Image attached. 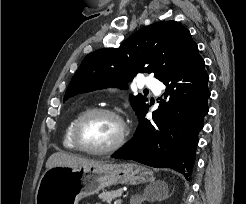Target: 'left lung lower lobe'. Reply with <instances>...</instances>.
<instances>
[{"mask_svg":"<svg viewBox=\"0 0 246 204\" xmlns=\"http://www.w3.org/2000/svg\"><path fill=\"white\" fill-rule=\"evenodd\" d=\"M209 76L204 60L193 45L174 70L162 81L166 93L153 119L141 113L134 137L112 158L132 159L157 168H172L186 178L191 174L198 133L208 113ZM188 179V178H187Z\"/></svg>","mask_w":246,"mask_h":204,"instance_id":"obj_1","label":"left lung lower lobe"}]
</instances>
